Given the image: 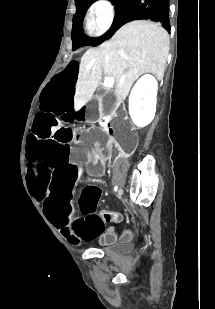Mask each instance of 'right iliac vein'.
<instances>
[{
	"label": "right iliac vein",
	"instance_id": "1",
	"mask_svg": "<svg viewBox=\"0 0 215 309\" xmlns=\"http://www.w3.org/2000/svg\"><path fill=\"white\" fill-rule=\"evenodd\" d=\"M122 193H123V191H122V189H120V190L118 191V193H117V196H118V197H121Z\"/></svg>",
	"mask_w": 215,
	"mask_h": 309
}]
</instances>
